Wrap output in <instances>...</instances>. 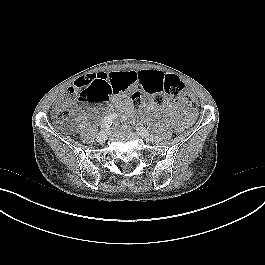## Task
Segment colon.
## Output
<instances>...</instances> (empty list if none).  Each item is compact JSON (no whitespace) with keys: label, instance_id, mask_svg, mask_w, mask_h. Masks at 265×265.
Here are the masks:
<instances>
[{"label":"colon","instance_id":"colon-1","mask_svg":"<svg viewBox=\"0 0 265 265\" xmlns=\"http://www.w3.org/2000/svg\"><path fill=\"white\" fill-rule=\"evenodd\" d=\"M111 93V88L103 78L89 76L80 78L64 93L57 107L56 118L60 122H66L70 116L69 107L77 98L82 101H102L108 99ZM149 93L152 95L153 102L159 106L166 102V98L178 102L180 97L184 96L188 110L193 111L197 107L196 100L190 94L185 93L184 84L173 74H167L163 82ZM131 100L134 107H140L143 101L142 93L140 91L133 92Z\"/></svg>","mask_w":265,"mask_h":265}]
</instances>
